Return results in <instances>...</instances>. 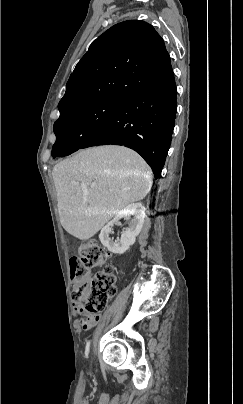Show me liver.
<instances>
[{
    "label": "liver",
    "instance_id": "6515ba94",
    "mask_svg": "<svg viewBox=\"0 0 243 404\" xmlns=\"http://www.w3.org/2000/svg\"><path fill=\"white\" fill-rule=\"evenodd\" d=\"M52 176L60 222L78 240L95 236L116 212L143 200L152 186L149 166L123 146L80 150L56 164Z\"/></svg>",
    "mask_w": 243,
    "mask_h": 404
}]
</instances>
